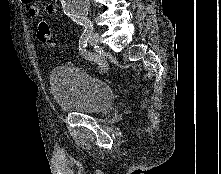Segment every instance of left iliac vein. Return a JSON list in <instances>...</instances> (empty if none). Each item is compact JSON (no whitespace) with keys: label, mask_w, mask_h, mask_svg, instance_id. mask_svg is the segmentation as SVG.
Returning <instances> with one entry per match:
<instances>
[{"label":"left iliac vein","mask_w":221,"mask_h":174,"mask_svg":"<svg viewBox=\"0 0 221 174\" xmlns=\"http://www.w3.org/2000/svg\"><path fill=\"white\" fill-rule=\"evenodd\" d=\"M89 44L90 46H92L93 48L98 47L99 44V35L97 33H93L90 37H89Z\"/></svg>","instance_id":"4c4485c4"}]
</instances>
